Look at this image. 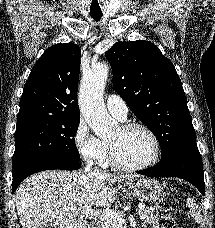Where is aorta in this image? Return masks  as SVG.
Instances as JSON below:
<instances>
[{
	"mask_svg": "<svg viewBox=\"0 0 215 228\" xmlns=\"http://www.w3.org/2000/svg\"><path fill=\"white\" fill-rule=\"evenodd\" d=\"M108 64H98L92 68L89 76L83 78L79 90L80 112L97 136H105L112 132L113 122L101 100V92L108 78Z\"/></svg>",
	"mask_w": 215,
	"mask_h": 228,
	"instance_id": "obj_1",
	"label": "aorta"
}]
</instances>
